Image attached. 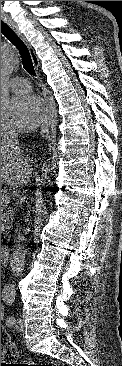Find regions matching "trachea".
I'll list each match as a JSON object with an SVG mask.
<instances>
[{
	"mask_svg": "<svg viewBox=\"0 0 122 366\" xmlns=\"http://www.w3.org/2000/svg\"><path fill=\"white\" fill-rule=\"evenodd\" d=\"M1 33L19 50L24 69L32 76H36L34 64L27 46L15 34V32L1 20Z\"/></svg>",
	"mask_w": 122,
	"mask_h": 366,
	"instance_id": "3493384b",
	"label": "trachea"
}]
</instances>
